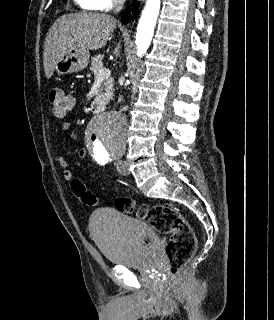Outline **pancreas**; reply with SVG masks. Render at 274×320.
I'll list each match as a JSON object with an SVG mask.
<instances>
[{
	"label": "pancreas",
	"mask_w": 274,
	"mask_h": 320,
	"mask_svg": "<svg viewBox=\"0 0 274 320\" xmlns=\"http://www.w3.org/2000/svg\"><path fill=\"white\" fill-rule=\"evenodd\" d=\"M102 60L103 56H93V58H91L90 70L93 72L94 76H98V70L103 68ZM113 84L114 78H108V80H104V92L109 94L108 98H112V96H114ZM105 104H108V102H105Z\"/></svg>",
	"instance_id": "cf45deb5"
}]
</instances>
